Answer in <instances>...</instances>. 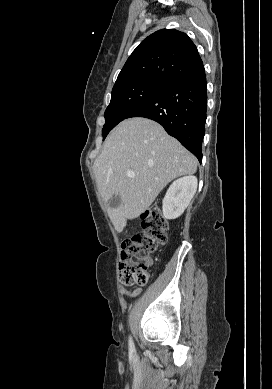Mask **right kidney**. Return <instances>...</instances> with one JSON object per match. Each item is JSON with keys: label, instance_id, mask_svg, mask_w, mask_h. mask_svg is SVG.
I'll return each instance as SVG.
<instances>
[{"label": "right kidney", "instance_id": "ca27d5eb", "mask_svg": "<svg viewBox=\"0 0 272 389\" xmlns=\"http://www.w3.org/2000/svg\"><path fill=\"white\" fill-rule=\"evenodd\" d=\"M198 181L189 175L174 181L163 199V216L172 220L180 217L197 190Z\"/></svg>", "mask_w": 272, "mask_h": 389}]
</instances>
